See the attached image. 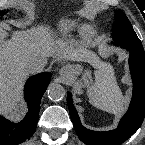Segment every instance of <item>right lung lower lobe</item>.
<instances>
[{
    "label": "right lung lower lobe",
    "mask_w": 145,
    "mask_h": 145,
    "mask_svg": "<svg viewBox=\"0 0 145 145\" xmlns=\"http://www.w3.org/2000/svg\"><path fill=\"white\" fill-rule=\"evenodd\" d=\"M51 74L43 72L30 77L24 88L28 113L19 123H12L0 115V145H18L29 139L36 130L41 98L50 82Z\"/></svg>",
    "instance_id": "right-lung-lower-lobe-1"
}]
</instances>
